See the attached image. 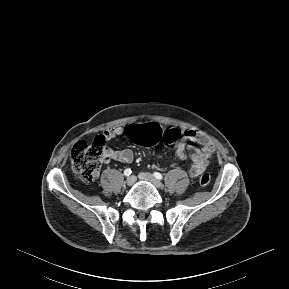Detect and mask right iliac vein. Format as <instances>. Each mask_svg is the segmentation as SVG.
I'll return each mask as SVG.
<instances>
[{"label": "right iliac vein", "mask_w": 289, "mask_h": 289, "mask_svg": "<svg viewBox=\"0 0 289 289\" xmlns=\"http://www.w3.org/2000/svg\"><path fill=\"white\" fill-rule=\"evenodd\" d=\"M136 181V178L134 176H130L126 179V185L127 186H132Z\"/></svg>", "instance_id": "obj_1"}]
</instances>
